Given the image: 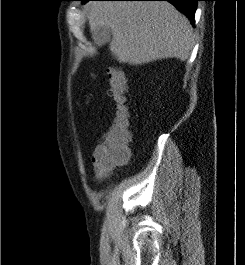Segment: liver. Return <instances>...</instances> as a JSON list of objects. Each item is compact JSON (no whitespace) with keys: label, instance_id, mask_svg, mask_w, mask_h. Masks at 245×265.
<instances>
[{"label":"liver","instance_id":"6515ba94","mask_svg":"<svg viewBox=\"0 0 245 265\" xmlns=\"http://www.w3.org/2000/svg\"><path fill=\"white\" fill-rule=\"evenodd\" d=\"M91 31L111 29L110 50L119 62L142 65L165 58L185 61L193 47L189 20L164 1H92Z\"/></svg>","mask_w":245,"mask_h":265}]
</instances>
